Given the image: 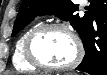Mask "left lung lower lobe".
Here are the masks:
<instances>
[{"label": "left lung lower lobe", "instance_id": "obj_1", "mask_svg": "<svg viewBox=\"0 0 107 75\" xmlns=\"http://www.w3.org/2000/svg\"><path fill=\"white\" fill-rule=\"evenodd\" d=\"M89 2V22L80 35L86 54L76 69L91 75H107V36L101 39L96 35L97 29L107 33V0Z\"/></svg>", "mask_w": 107, "mask_h": 75}]
</instances>
